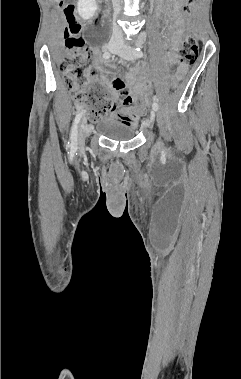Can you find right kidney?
<instances>
[{
  "instance_id": "right-kidney-1",
  "label": "right kidney",
  "mask_w": 241,
  "mask_h": 379,
  "mask_svg": "<svg viewBox=\"0 0 241 379\" xmlns=\"http://www.w3.org/2000/svg\"><path fill=\"white\" fill-rule=\"evenodd\" d=\"M97 10L96 0H78L77 11L82 19H91Z\"/></svg>"
}]
</instances>
